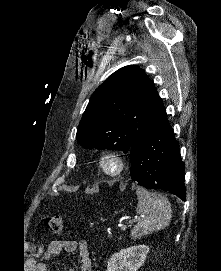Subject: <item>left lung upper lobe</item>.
<instances>
[{"mask_svg":"<svg viewBox=\"0 0 221 271\" xmlns=\"http://www.w3.org/2000/svg\"><path fill=\"white\" fill-rule=\"evenodd\" d=\"M167 117L153 82L136 66L114 72L92 94L77 129L83 148H130Z\"/></svg>","mask_w":221,"mask_h":271,"instance_id":"left-lung-upper-lobe-1","label":"left lung upper lobe"}]
</instances>
